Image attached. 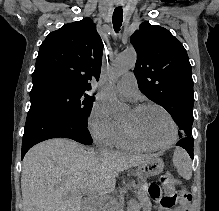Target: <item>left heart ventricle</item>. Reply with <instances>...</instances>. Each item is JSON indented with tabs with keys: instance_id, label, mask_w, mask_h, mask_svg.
I'll list each match as a JSON object with an SVG mask.
<instances>
[{
	"instance_id": "b2bd125f",
	"label": "left heart ventricle",
	"mask_w": 219,
	"mask_h": 211,
	"mask_svg": "<svg viewBox=\"0 0 219 211\" xmlns=\"http://www.w3.org/2000/svg\"><path fill=\"white\" fill-rule=\"evenodd\" d=\"M147 143L164 145L172 137V126L168 117L155 107L135 110L130 108L123 119Z\"/></svg>"
}]
</instances>
